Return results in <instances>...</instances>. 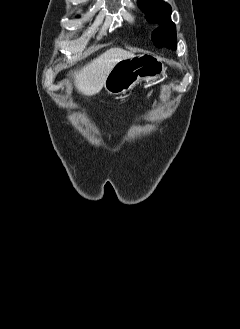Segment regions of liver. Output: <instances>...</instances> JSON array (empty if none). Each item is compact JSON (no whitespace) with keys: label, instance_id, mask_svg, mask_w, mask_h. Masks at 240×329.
<instances>
[{"label":"liver","instance_id":"liver-1","mask_svg":"<svg viewBox=\"0 0 240 329\" xmlns=\"http://www.w3.org/2000/svg\"><path fill=\"white\" fill-rule=\"evenodd\" d=\"M122 48H111L79 70L74 71L75 86L85 96L97 94L104 86L107 75L116 63L134 57Z\"/></svg>","mask_w":240,"mask_h":329}]
</instances>
